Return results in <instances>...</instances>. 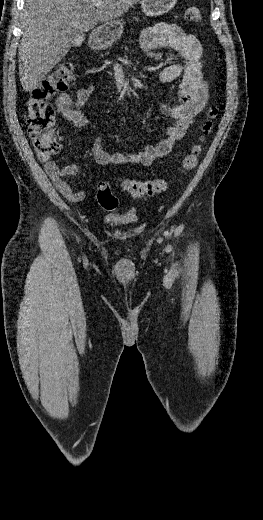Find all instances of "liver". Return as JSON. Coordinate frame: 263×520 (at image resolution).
Returning <instances> with one entry per match:
<instances>
[{
    "instance_id": "liver-1",
    "label": "liver",
    "mask_w": 263,
    "mask_h": 520,
    "mask_svg": "<svg viewBox=\"0 0 263 520\" xmlns=\"http://www.w3.org/2000/svg\"><path fill=\"white\" fill-rule=\"evenodd\" d=\"M97 1L103 3L96 7ZM139 0H26L24 33L19 57L20 82L25 92L34 90L66 56L76 28L88 32L98 23L106 24L123 16Z\"/></svg>"
}]
</instances>
